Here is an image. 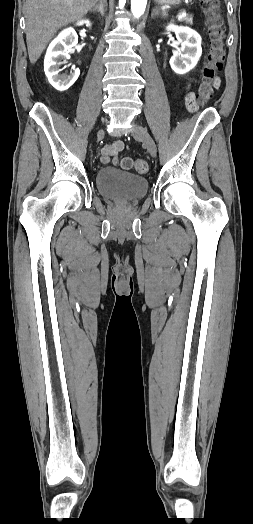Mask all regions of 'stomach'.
Masks as SVG:
<instances>
[{"instance_id": "0dacf381", "label": "stomach", "mask_w": 253, "mask_h": 524, "mask_svg": "<svg viewBox=\"0 0 253 524\" xmlns=\"http://www.w3.org/2000/svg\"><path fill=\"white\" fill-rule=\"evenodd\" d=\"M159 5H177L182 2V0H155Z\"/></svg>"}]
</instances>
